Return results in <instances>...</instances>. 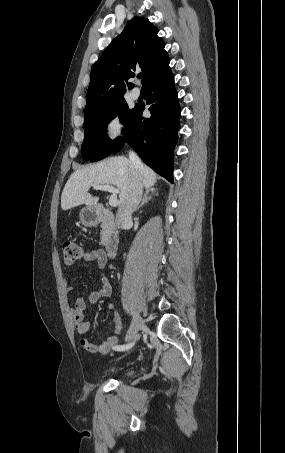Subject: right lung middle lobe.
I'll return each instance as SVG.
<instances>
[{"instance_id": "dd1d6c3e", "label": "right lung middle lobe", "mask_w": 285, "mask_h": 453, "mask_svg": "<svg viewBox=\"0 0 285 453\" xmlns=\"http://www.w3.org/2000/svg\"><path fill=\"white\" fill-rule=\"evenodd\" d=\"M135 109L136 106L129 109L127 102L122 97L84 114L85 137L81 147L83 159L95 162L111 154L121 142L122 137L111 141L107 136L108 123L119 115L127 130Z\"/></svg>"}]
</instances>
